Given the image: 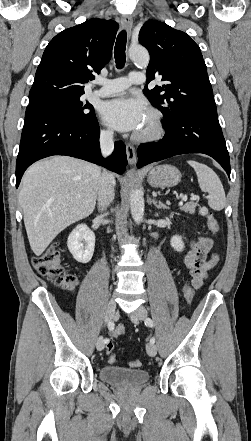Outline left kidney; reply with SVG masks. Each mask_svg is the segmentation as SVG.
Returning a JSON list of instances; mask_svg holds the SVG:
<instances>
[{
	"label": "left kidney",
	"mask_w": 251,
	"mask_h": 441,
	"mask_svg": "<svg viewBox=\"0 0 251 441\" xmlns=\"http://www.w3.org/2000/svg\"><path fill=\"white\" fill-rule=\"evenodd\" d=\"M170 244L172 248L178 252H181L184 249V242L179 235H174L170 240Z\"/></svg>",
	"instance_id": "5707ae66"
}]
</instances>
